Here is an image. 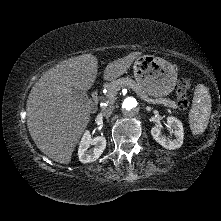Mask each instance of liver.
Returning a JSON list of instances; mask_svg holds the SVG:
<instances>
[{
    "label": "liver",
    "mask_w": 221,
    "mask_h": 221,
    "mask_svg": "<svg viewBox=\"0 0 221 221\" xmlns=\"http://www.w3.org/2000/svg\"><path fill=\"white\" fill-rule=\"evenodd\" d=\"M141 52L108 63L104 79L123 75ZM98 72V59L83 54L62 61L34 84L28 96L27 126L38 149L61 164H69L72 153L90 121V109L74 96L87 92Z\"/></svg>",
    "instance_id": "obj_1"
}]
</instances>
